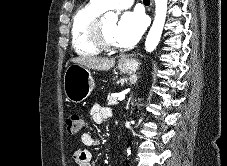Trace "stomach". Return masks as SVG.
I'll return each mask as SVG.
<instances>
[{
	"label": "stomach",
	"mask_w": 227,
	"mask_h": 166,
	"mask_svg": "<svg viewBox=\"0 0 227 166\" xmlns=\"http://www.w3.org/2000/svg\"><path fill=\"white\" fill-rule=\"evenodd\" d=\"M139 68L136 59H122L118 63V69L123 74H133ZM95 83L91 72L78 64L67 67L64 74V91L68 100L74 103L84 101L94 89Z\"/></svg>",
	"instance_id": "0dacf381"
}]
</instances>
